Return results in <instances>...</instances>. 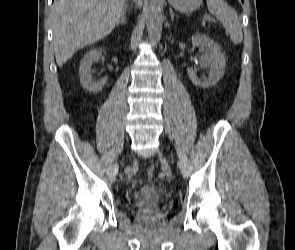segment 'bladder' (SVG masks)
Segmentation results:
<instances>
[{
	"label": "bladder",
	"mask_w": 295,
	"mask_h": 250,
	"mask_svg": "<svg viewBox=\"0 0 295 250\" xmlns=\"http://www.w3.org/2000/svg\"><path fill=\"white\" fill-rule=\"evenodd\" d=\"M160 192L152 185L141 187L134 196V205L138 211H151L160 205Z\"/></svg>",
	"instance_id": "obj_1"
}]
</instances>
